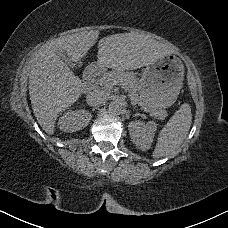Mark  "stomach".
I'll return each mask as SVG.
<instances>
[{
	"mask_svg": "<svg viewBox=\"0 0 228 228\" xmlns=\"http://www.w3.org/2000/svg\"><path fill=\"white\" fill-rule=\"evenodd\" d=\"M183 79L182 61L170 54L143 70L139 80V98L149 109L169 108L178 98Z\"/></svg>",
	"mask_w": 228,
	"mask_h": 228,
	"instance_id": "obj_1",
	"label": "stomach"
}]
</instances>
